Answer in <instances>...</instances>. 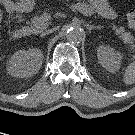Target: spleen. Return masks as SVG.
<instances>
[{"instance_id": "spleen-1", "label": "spleen", "mask_w": 135, "mask_h": 135, "mask_svg": "<svg viewBox=\"0 0 135 135\" xmlns=\"http://www.w3.org/2000/svg\"><path fill=\"white\" fill-rule=\"evenodd\" d=\"M125 85H132L135 83V61L127 66L123 76Z\"/></svg>"}]
</instances>
